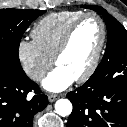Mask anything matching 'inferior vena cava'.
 <instances>
[{"label": "inferior vena cava", "instance_id": "obj_1", "mask_svg": "<svg viewBox=\"0 0 127 127\" xmlns=\"http://www.w3.org/2000/svg\"><path fill=\"white\" fill-rule=\"evenodd\" d=\"M46 75L44 70H31L28 72V76L33 80H40Z\"/></svg>", "mask_w": 127, "mask_h": 127}]
</instances>
